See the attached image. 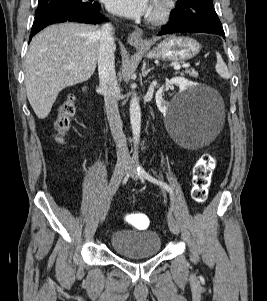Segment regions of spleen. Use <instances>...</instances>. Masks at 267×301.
<instances>
[{"label": "spleen", "mask_w": 267, "mask_h": 301, "mask_svg": "<svg viewBox=\"0 0 267 301\" xmlns=\"http://www.w3.org/2000/svg\"><path fill=\"white\" fill-rule=\"evenodd\" d=\"M216 57H217V62H216V72L220 75V77L224 79H229L230 78V73L228 71L227 65L223 61L221 55L216 52Z\"/></svg>", "instance_id": "3e777b00"}]
</instances>
